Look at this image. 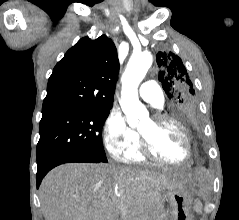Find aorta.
Wrapping results in <instances>:
<instances>
[{"label": "aorta", "mask_w": 239, "mask_h": 220, "mask_svg": "<svg viewBox=\"0 0 239 220\" xmlns=\"http://www.w3.org/2000/svg\"><path fill=\"white\" fill-rule=\"evenodd\" d=\"M152 60L149 52L133 55L122 76L120 105L131 127H135L140 119L148 116L147 109L139 100L138 86L150 68Z\"/></svg>", "instance_id": "aorta-1"}]
</instances>
